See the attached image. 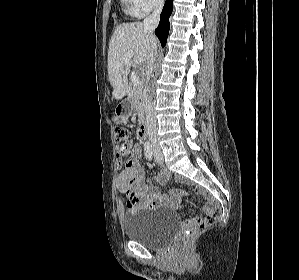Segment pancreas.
Masks as SVG:
<instances>
[{"mask_svg": "<svg viewBox=\"0 0 299 280\" xmlns=\"http://www.w3.org/2000/svg\"><path fill=\"white\" fill-rule=\"evenodd\" d=\"M129 102L131 107L142 116L144 112V98H143V88L142 86L133 87L129 92Z\"/></svg>", "mask_w": 299, "mask_h": 280, "instance_id": "cf45deb5", "label": "pancreas"}]
</instances>
